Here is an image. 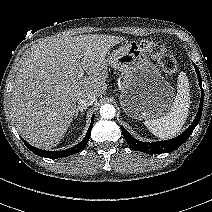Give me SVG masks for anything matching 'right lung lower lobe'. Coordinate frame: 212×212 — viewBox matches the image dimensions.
<instances>
[{
  "mask_svg": "<svg viewBox=\"0 0 212 212\" xmlns=\"http://www.w3.org/2000/svg\"><path fill=\"white\" fill-rule=\"evenodd\" d=\"M93 118H94V116L92 117L91 125H90V127L87 131L85 138L79 144H77V145H75L72 148L67 149V150L46 151V150L35 148L32 145H30L29 143H27L25 140H23V139L22 140L30 151H32L33 153H35V154H37L41 157L55 159V158H62V157H66V156H69V155H73L75 153L80 152L87 145V142L90 138L91 128H92V125H93Z\"/></svg>",
  "mask_w": 212,
  "mask_h": 212,
  "instance_id": "obj_1",
  "label": "right lung lower lobe"
}]
</instances>
